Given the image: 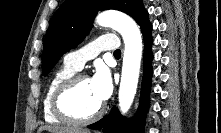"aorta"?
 <instances>
[{
    "label": "aorta",
    "mask_w": 221,
    "mask_h": 133,
    "mask_svg": "<svg viewBox=\"0 0 221 133\" xmlns=\"http://www.w3.org/2000/svg\"><path fill=\"white\" fill-rule=\"evenodd\" d=\"M96 23L117 30L124 40L119 109L122 114H126L133 103L138 85L143 47L141 33L132 18L116 11L102 12L97 16Z\"/></svg>",
    "instance_id": "762f6f07"
}]
</instances>
